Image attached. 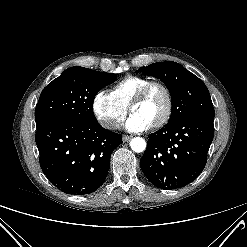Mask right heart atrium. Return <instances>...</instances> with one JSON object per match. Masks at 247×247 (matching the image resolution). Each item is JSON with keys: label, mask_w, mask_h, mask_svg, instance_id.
<instances>
[{"label": "right heart atrium", "mask_w": 247, "mask_h": 247, "mask_svg": "<svg viewBox=\"0 0 247 247\" xmlns=\"http://www.w3.org/2000/svg\"><path fill=\"white\" fill-rule=\"evenodd\" d=\"M92 109L99 123L108 130L115 129L127 113V107L121 105L105 90H99L94 95Z\"/></svg>", "instance_id": "right-heart-atrium-1"}]
</instances>
